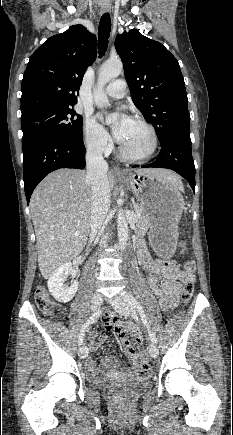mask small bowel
<instances>
[{"label":"small bowel","instance_id":"small-bowel-1","mask_svg":"<svg viewBox=\"0 0 233 435\" xmlns=\"http://www.w3.org/2000/svg\"><path fill=\"white\" fill-rule=\"evenodd\" d=\"M137 254L140 264L148 273L147 284L158 298L159 308L164 312L174 309L179 302L181 282L188 278V274L181 270L176 261L153 259L141 242L137 244ZM104 323L107 331L113 333L122 342L124 351L132 361L134 369L122 366L112 355L104 356L101 360V369H98L96 361L89 358L86 363L88 377L92 380H99L104 374L129 378L146 375L148 371L145 368L136 366L139 355L134 352L127 338L130 335L137 346L142 345L143 335L139 327L132 322L120 320L115 312H107ZM96 338L97 341L91 344L92 352L97 351L109 339V336L98 334Z\"/></svg>","mask_w":233,"mask_h":435}]
</instances>
